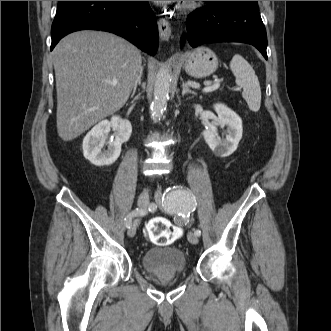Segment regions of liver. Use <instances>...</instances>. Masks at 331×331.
<instances>
[{"instance_id": "obj_1", "label": "liver", "mask_w": 331, "mask_h": 331, "mask_svg": "<svg viewBox=\"0 0 331 331\" xmlns=\"http://www.w3.org/2000/svg\"><path fill=\"white\" fill-rule=\"evenodd\" d=\"M57 90V132L71 141L127 102L142 68L140 51L118 36L78 31L52 52ZM112 81H117L113 86Z\"/></svg>"}]
</instances>
